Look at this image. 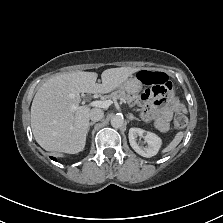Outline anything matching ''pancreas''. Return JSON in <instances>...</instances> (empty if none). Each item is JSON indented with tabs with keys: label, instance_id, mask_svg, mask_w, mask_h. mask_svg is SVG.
I'll return each instance as SVG.
<instances>
[{
	"label": "pancreas",
	"instance_id": "1",
	"mask_svg": "<svg viewBox=\"0 0 223 223\" xmlns=\"http://www.w3.org/2000/svg\"><path fill=\"white\" fill-rule=\"evenodd\" d=\"M110 96L113 99L124 98L131 107L136 105L137 99H138V97H136L134 95L131 96L130 94H127L123 91L119 92L118 90L112 92Z\"/></svg>",
	"mask_w": 223,
	"mask_h": 223
}]
</instances>
